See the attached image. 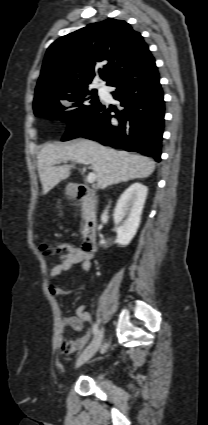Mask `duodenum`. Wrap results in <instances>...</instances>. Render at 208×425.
<instances>
[{"mask_svg": "<svg viewBox=\"0 0 208 425\" xmlns=\"http://www.w3.org/2000/svg\"><path fill=\"white\" fill-rule=\"evenodd\" d=\"M72 193L82 203L84 219L82 249L85 252H93L97 247V199L92 189L84 184H74Z\"/></svg>", "mask_w": 208, "mask_h": 425, "instance_id": "duodenum-1", "label": "duodenum"}]
</instances>
